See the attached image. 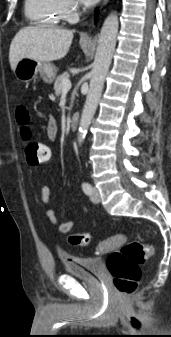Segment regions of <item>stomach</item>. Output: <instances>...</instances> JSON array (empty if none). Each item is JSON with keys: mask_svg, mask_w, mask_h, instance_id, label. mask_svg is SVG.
Instances as JSON below:
<instances>
[{"mask_svg": "<svg viewBox=\"0 0 171 337\" xmlns=\"http://www.w3.org/2000/svg\"><path fill=\"white\" fill-rule=\"evenodd\" d=\"M56 73L57 69L53 64L30 58L21 59L14 70L15 77L22 82H29L39 74L43 81L52 83Z\"/></svg>", "mask_w": 171, "mask_h": 337, "instance_id": "stomach-1", "label": "stomach"}]
</instances>
